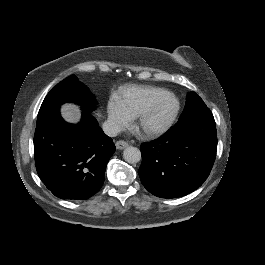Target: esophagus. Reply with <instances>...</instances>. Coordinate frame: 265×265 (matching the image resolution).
Wrapping results in <instances>:
<instances>
[{"label": "esophagus", "mask_w": 265, "mask_h": 265, "mask_svg": "<svg viewBox=\"0 0 265 265\" xmlns=\"http://www.w3.org/2000/svg\"><path fill=\"white\" fill-rule=\"evenodd\" d=\"M115 146L118 150H122L128 146V144L125 141H117L115 143Z\"/></svg>", "instance_id": "1"}]
</instances>
